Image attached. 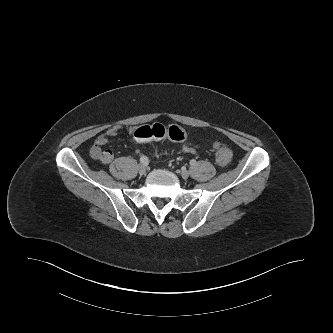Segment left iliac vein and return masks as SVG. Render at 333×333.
<instances>
[{
  "instance_id": "obj_1",
  "label": "left iliac vein",
  "mask_w": 333,
  "mask_h": 333,
  "mask_svg": "<svg viewBox=\"0 0 333 333\" xmlns=\"http://www.w3.org/2000/svg\"><path fill=\"white\" fill-rule=\"evenodd\" d=\"M180 174L183 179H187L189 177V172L187 170H182Z\"/></svg>"
}]
</instances>
